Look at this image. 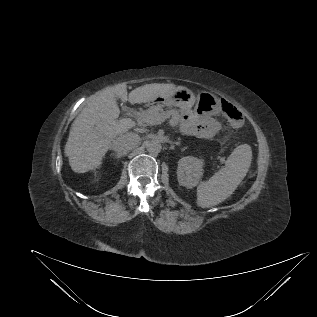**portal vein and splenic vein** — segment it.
I'll use <instances>...</instances> for the list:
<instances>
[{
	"instance_id": "1",
	"label": "portal vein and splenic vein",
	"mask_w": 317,
	"mask_h": 317,
	"mask_svg": "<svg viewBox=\"0 0 317 317\" xmlns=\"http://www.w3.org/2000/svg\"><path fill=\"white\" fill-rule=\"evenodd\" d=\"M137 115H139L140 117L142 116V114L138 113V112H137ZM165 119H166V117L164 115L158 114L155 117L148 118V122L151 125H158V124L163 123L165 121Z\"/></svg>"
}]
</instances>
